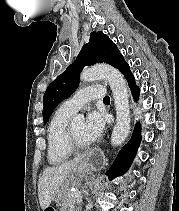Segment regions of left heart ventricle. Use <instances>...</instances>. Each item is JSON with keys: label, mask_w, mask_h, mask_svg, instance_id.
I'll list each match as a JSON object with an SVG mask.
<instances>
[{"label": "left heart ventricle", "mask_w": 179, "mask_h": 211, "mask_svg": "<svg viewBox=\"0 0 179 211\" xmlns=\"http://www.w3.org/2000/svg\"><path fill=\"white\" fill-rule=\"evenodd\" d=\"M84 123L83 122H74L72 128L77 139L82 143H88L84 136Z\"/></svg>", "instance_id": "obj_1"}]
</instances>
